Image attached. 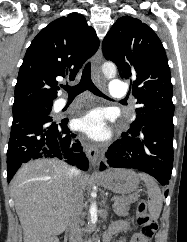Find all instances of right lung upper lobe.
<instances>
[{
  "mask_svg": "<svg viewBox=\"0 0 187 242\" xmlns=\"http://www.w3.org/2000/svg\"><path fill=\"white\" fill-rule=\"evenodd\" d=\"M95 30L84 16L69 14L42 29L27 49L15 86L14 106L52 104L59 77L73 80L98 49Z\"/></svg>",
  "mask_w": 187,
  "mask_h": 242,
  "instance_id": "obj_1",
  "label": "right lung upper lobe"
}]
</instances>
